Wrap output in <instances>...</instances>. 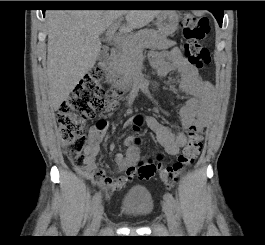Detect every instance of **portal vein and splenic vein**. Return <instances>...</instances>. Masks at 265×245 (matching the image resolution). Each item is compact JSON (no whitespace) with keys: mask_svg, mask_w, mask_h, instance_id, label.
I'll return each mask as SVG.
<instances>
[{"mask_svg":"<svg viewBox=\"0 0 265 245\" xmlns=\"http://www.w3.org/2000/svg\"><path fill=\"white\" fill-rule=\"evenodd\" d=\"M120 25V22H115L106 32V40L113 41L114 43L125 45L128 43V38L123 36L122 34H115L118 27Z\"/></svg>","mask_w":265,"mask_h":245,"instance_id":"18ae733b","label":"portal vein and splenic vein"}]
</instances>
